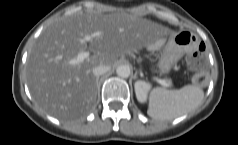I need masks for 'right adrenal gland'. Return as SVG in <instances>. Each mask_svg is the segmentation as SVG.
Segmentation results:
<instances>
[{
    "mask_svg": "<svg viewBox=\"0 0 238 145\" xmlns=\"http://www.w3.org/2000/svg\"><path fill=\"white\" fill-rule=\"evenodd\" d=\"M98 81H99V77L96 78V82H97V83H98Z\"/></svg>",
    "mask_w": 238,
    "mask_h": 145,
    "instance_id": "2a0ac1e0",
    "label": "right adrenal gland"
}]
</instances>
